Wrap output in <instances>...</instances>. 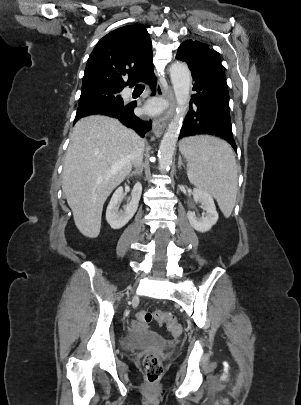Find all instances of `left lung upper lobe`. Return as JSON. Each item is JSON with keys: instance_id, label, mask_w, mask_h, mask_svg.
I'll return each mask as SVG.
<instances>
[{"instance_id": "left-lung-upper-lobe-1", "label": "left lung upper lobe", "mask_w": 301, "mask_h": 405, "mask_svg": "<svg viewBox=\"0 0 301 405\" xmlns=\"http://www.w3.org/2000/svg\"><path fill=\"white\" fill-rule=\"evenodd\" d=\"M176 58L185 61L190 69L198 71L228 92L223 66L215 52L206 44L197 40H186L179 46Z\"/></svg>"}]
</instances>
